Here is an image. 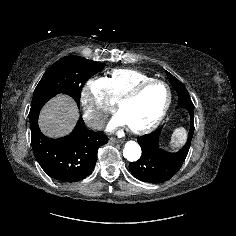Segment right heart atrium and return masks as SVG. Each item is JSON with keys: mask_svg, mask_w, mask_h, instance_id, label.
Here are the masks:
<instances>
[{"mask_svg": "<svg viewBox=\"0 0 236 236\" xmlns=\"http://www.w3.org/2000/svg\"><path fill=\"white\" fill-rule=\"evenodd\" d=\"M80 101L84 118L87 124L93 128H98L113 109L102 78L91 79L86 82L81 91Z\"/></svg>", "mask_w": 236, "mask_h": 236, "instance_id": "1", "label": "right heart atrium"}]
</instances>
